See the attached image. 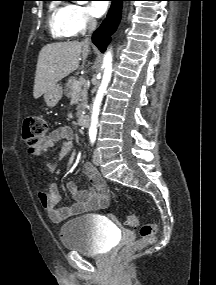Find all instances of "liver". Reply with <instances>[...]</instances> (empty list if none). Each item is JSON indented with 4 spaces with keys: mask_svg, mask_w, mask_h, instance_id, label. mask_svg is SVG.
<instances>
[{
    "mask_svg": "<svg viewBox=\"0 0 216 285\" xmlns=\"http://www.w3.org/2000/svg\"><path fill=\"white\" fill-rule=\"evenodd\" d=\"M90 53L89 44L78 41L45 45L38 56L33 96L35 99L52 89L58 81L79 67L82 54L85 61Z\"/></svg>",
    "mask_w": 216,
    "mask_h": 285,
    "instance_id": "6515ba94",
    "label": "liver"
}]
</instances>
